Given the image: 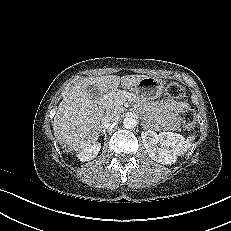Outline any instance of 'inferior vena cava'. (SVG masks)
I'll return each instance as SVG.
<instances>
[{
  "instance_id": "1",
  "label": "inferior vena cava",
  "mask_w": 231,
  "mask_h": 231,
  "mask_svg": "<svg viewBox=\"0 0 231 231\" xmlns=\"http://www.w3.org/2000/svg\"><path fill=\"white\" fill-rule=\"evenodd\" d=\"M118 121V116L115 114H108L103 118L102 125L104 128H109Z\"/></svg>"
}]
</instances>
